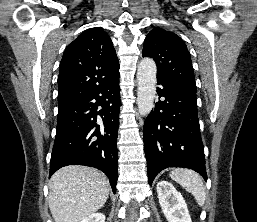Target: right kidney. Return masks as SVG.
<instances>
[{
    "label": "right kidney",
    "instance_id": "1",
    "mask_svg": "<svg viewBox=\"0 0 257 222\" xmlns=\"http://www.w3.org/2000/svg\"><path fill=\"white\" fill-rule=\"evenodd\" d=\"M81 222H105V215L102 213H93Z\"/></svg>",
    "mask_w": 257,
    "mask_h": 222
}]
</instances>
